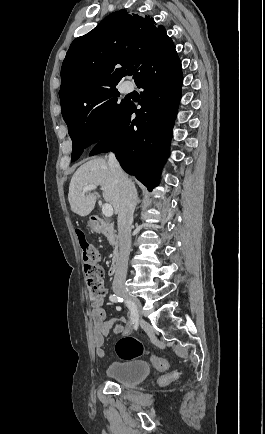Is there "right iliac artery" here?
I'll return each instance as SVG.
<instances>
[{"label":"right iliac artery","instance_id":"obj_1","mask_svg":"<svg viewBox=\"0 0 265 434\" xmlns=\"http://www.w3.org/2000/svg\"><path fill=\"white\" fill-rule=\"evenodd\" d=\"M109 300L111 302H123V298H121L120 296L116 295V294H111L109 296ZM125 303L127 304L129 310H130V314H131V322L134 323L135 321L138 320L139 315H138V311L137 309L131 304V302H129L128 300L125 301Z\"/></svg>","mask_w":265,"mask_h":434}]
</instances>
